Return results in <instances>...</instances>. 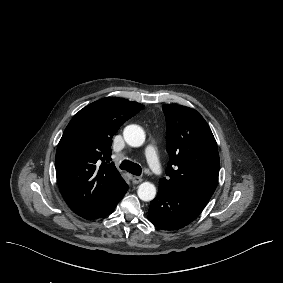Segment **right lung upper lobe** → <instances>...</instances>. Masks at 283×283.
<instances>
[{"mask_svg": "<svg viewBox=\"0 0 283 283\" xmlns=\"http://www.w3.org/2000/svg\"><path fill=\"white\" fill-rule=\"evenodd\" d=\"M144 106L108 97L80 110L66 127L56 151V176L61 194L81 217L111 206L127 185L111 160L112 137Z\"/></svg>", "mask_w": 283, "mask_h": 283, "instance_id": "cb5924a9", "label": "right lung upper lobe"}]
</instances>
